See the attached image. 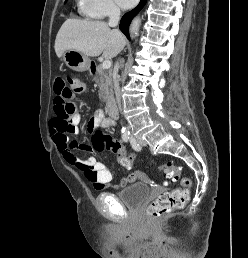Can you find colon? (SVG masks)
Returning <instances> with one entry per match:
<instances>
[{
    "mask_svg": "<svg viewBox=\"0 0 248 258\" xmlns=\"http://www.w3.org/2000/svg\"><path fill=\"white\" fill-rule=\"evenodd\" d=\"M69 83L72 94L81 95L86 92V84L80 78H70ZM74 111L75 108L72 104L65 100L61 101L56 111V115L52 119V124L60 130L69 132L72 129L71 115ZM95 142L97 148L100 150L114 149L118 154V160L123 166V169H132L133 156L127 155V145H121V141H114L102 132L96 133ZM160 170L171 183H175L179 180L180 166L175 162H167L161 165ZM91 176H94V173L91 170H87L86 177L90 178ZM181 183L183 188L176 189L170 193H163L148 205L147 212L151 218L164 216L171 211L181 209L185 206L189 198L188 188L191 185V180L188 177H185L182 179Z\"/></svg>",
    "mask_w": 248,
    "mask_h": 258,
    "instance_id": "obj_1",
    "label": "colon"
}]
</instances>
